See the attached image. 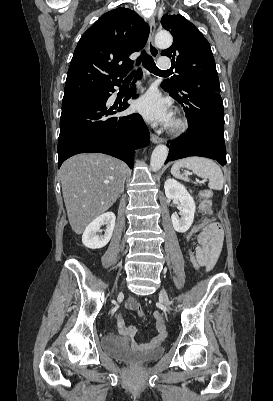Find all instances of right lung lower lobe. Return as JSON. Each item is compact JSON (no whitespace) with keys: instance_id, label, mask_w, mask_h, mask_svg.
Returning <instances> with one entry per match:
<instances>
[{"instance_id":"obj_1","label":"right lung lower lobe","mask_w":273,"mask_h":401,"mask_svg":"<svg viewBox=\"0 0 273 401\" xmlns=\"http://www.w3.org/2000/svg\"><path fill=\"white\" fill-rule=\"evenodd\" d=\"M142 74L139 69L137 77ZM98 91L96 96L78 100L62 107L58 140V168L69 157L79 153H105L133 167L134 150L149 144V131L138 113L124 117L112 116L129 107L126 102L134 94V87L119 105L108 109L107 100L113 86Z\"/></svg>"}]
</instances>
